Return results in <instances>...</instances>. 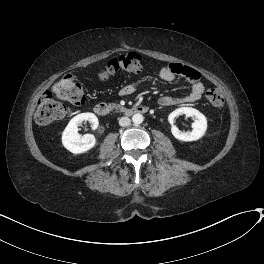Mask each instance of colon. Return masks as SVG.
I'll list each match as a JSON object with an SVG mask.
<instances>
[{
	"mask_svg": "<svg viewBox=\"0 0 264 264\" xmlns=\"http://www.w3.org/2000/svg\"><path fill=\"white\" fill-rule=\"evenodd\" d=\"M145 71H147L145 60L135 53H128L108 61L103 76L108 78L118 72L140 73ZM206 99L214 107H221L224 103L222 92L215 87L206 89ZM61 101H66L72 105H80L85 101L83 84L71 75L65 76L55 84L53 93L44 92L40 96L35 114L36 122L47 125L68 116L70 110Z\"/></svg>",
	"mask_w": 264,
	"mask_h": 264,
	"instance_id": "1",
	"label": "colon"
}]
</instances>
